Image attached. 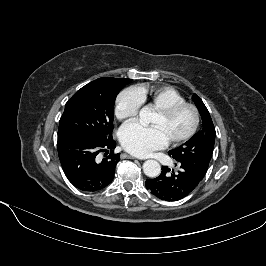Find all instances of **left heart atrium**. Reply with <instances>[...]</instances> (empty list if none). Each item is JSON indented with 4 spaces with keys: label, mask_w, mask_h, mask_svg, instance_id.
Returning <instances> with one entry per match:
<instances>
[{
    "label": "left heart atrium",
    "mask_w": 266,
    "mask_h": 266,
    "mask_svg": "<svg viewBox=\"0 0 266 266\" xmlns=\"http://www.w3.org/2000/svg\"><path fill=\"white\" fill-rule=\"evenodd\" d=\"M168 138L158 126H143L138 122L128 123L120 131V142L131 154L146 157L165 147Z\"/></svg>",
    "instance_id": "39dd6f15"
}]
</instances>
